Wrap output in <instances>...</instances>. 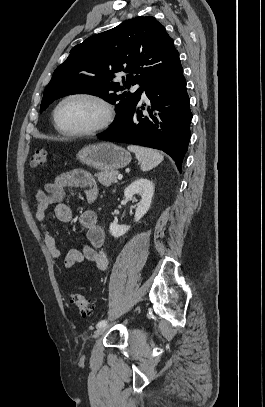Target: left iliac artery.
<instances>
[{"instance_id": "obj_1", "label": "left iliac artery", "mask_w": 265, "mask_h": 407, "mask_svg": "<svg viewBox=\"0 0 265 407\" xmlns=\"http://www.w3.org/2000/svg\"><path fill=\"white\" fill-rule=\"evenodd\" d=\"M107 324V320H101L100 322H98L97 324V328H100L102 326H105Z\"/></svg>"}]
</instances>
